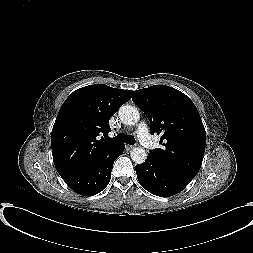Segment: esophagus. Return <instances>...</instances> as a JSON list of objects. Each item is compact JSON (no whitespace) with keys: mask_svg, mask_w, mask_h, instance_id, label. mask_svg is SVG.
<instances>
[{"mask_svg":"<svg viewBox=\"0 0 253 253\" xmlns=\"http://www.w3.org/2000/svg\"><path fill=\"white\" fill-rule=\"evenodd\" d=\"M128 149H133L135 146L134 145H127L126 146Z\"/></svg>","mask_w":253,"mask_h":253,"instance_id":"34e87169","label":"esophagus"}]
</instances>
